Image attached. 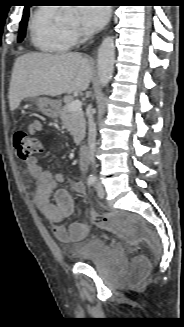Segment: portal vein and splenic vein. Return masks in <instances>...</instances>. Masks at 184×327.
I'll return each mask as SVG.
<instances>
[{"label": "portal vein and splenic vein", "instance_id": "portal-vein-and-splenic-vein-1", "mask_svg": "<svg viewBox=\"0 0 184 327\" xmlns=\"http://www.w3.org/2000/svg\"><path fill=\"white\" fill-rule=\"evenodd\" d=\"M81 106H82V102L80 100H74L68 104V109L71 112H76L81 110Z\"/></svg>", "mask_w": 184, "mask_h": 327}]
</instances>
